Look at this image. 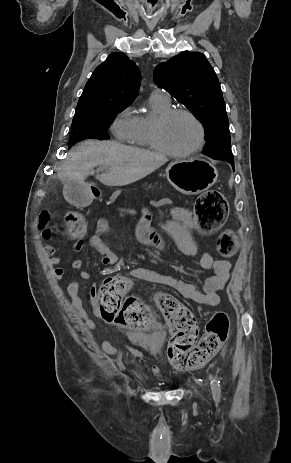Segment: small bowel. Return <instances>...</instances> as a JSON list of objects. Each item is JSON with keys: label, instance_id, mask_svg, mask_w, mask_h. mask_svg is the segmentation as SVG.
<instances>
[{"label": "small bowel", "instance_id": "c3829d8e", "mask_svg": "<svg viewBox=\"0 0 291 463\" xmlns=\"http://www.w3.org/2000/svg\"><path fill=\"white\" fill-rule=\"evenodd\" d=\"M169 218L171 210L167 212ZM152 215L147 212L144 214L138 227L136 228L137 238L141 246L160 245L162 249L167 247L168 240L163 239L166 237L165 233H159L158 227H151ZM160 227L165 230L176 242L179 250L186 255H195L197 253V246L193 239L192 229L189 226H170L165 222L160 224ZM110 230L109 223L106 219L100 218L96 223L94 233L89 239V244L92 249L101 256V261L107 266H116L119 264L118 256L106 245L103 241V235ZM159 237V238H158ZM43 239L46 240L43 236ZM84 243L82 236L73 244L72 251L74 253L83 249ZM45 253L48 257V263L52 267L51 275L55 279H63L66 277L67 271L61 266L63 262L62 257L56 256L57 248L53 245L45 246ZM200 265L205 270H210L213 274L206 278L203 285L198 287L194 283L186 282L178 279L175 276L155 271L146 268H136L131 270L130 274L137 280H143L151 283L162 284L174 288L185 298H188L196 303L203 304L209 307L217 306L220 303L219 292L222 291L230 279L231 265L227 261L215 259L209 252H203L200 258ZM73 270L77 271L81 279H89L91 273L84 268L83 261L79 258L73 257L71 262ZM82 287L80 279H74L68 283L66 287L67 295L71 303L77 311L80 318L85 322L90 330L95 329V324L89 318L88 313L83 305V300L79 293ZM97 292L95 286L91 290L92 305H96ZM104 352L116 355L118 350L111 346L108 342L101 343Z\"/></svg>", "mask_w": 291, "mask_h": 463}]
</instances>
